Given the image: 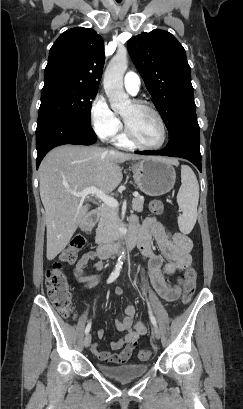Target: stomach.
<instances>
[{"instance_id":"1","label":"stomach","mask_w":243,"mask_h":409,"mask_svg":"<svg viewBox=\"0 0 243 409\" xmlns=\"http://www.w3.org/2000/svg\"><path fill=\"white\" fill-rule=\"evenodd\" d=\"M131 169L134 182L146 195H164L175 185L176 172L169 159L146 157L132 164Z\"/></svg>"}]
</instances>
